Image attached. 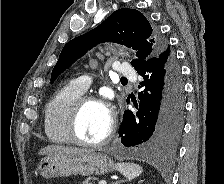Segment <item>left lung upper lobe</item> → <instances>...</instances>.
I'll use <instances>...</instances> for the list:
<instances>
[{
  "label": "left lung upper lobe",
  "mask_w": 224,
  "mask_h": 184,
  "mask_svg": "<svg viewBox=\"0 0 224 184\" xmlns=\"http://www.w3.org/2000/svg\"><path fill=\"white\" fill-rule=\"evenodd\" d=\"M108 41L137 50L136 55L139 59L131 62L136 70L167 47L166 42L152 29L142 13L135 9H118L98 27L72 39L64 46L52 71L51 80L71 66L88 49Z\"/></svg>",
  "instance_id": "5c2ea615"
}]
</instances>
